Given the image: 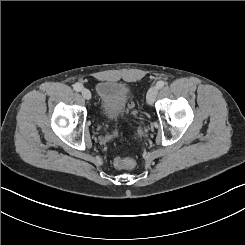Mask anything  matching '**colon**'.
<instances>
[{"label": "colon", "instance_id": "colon-1", "mask_svg": "<svg viewBox=\"0 0 245 245\" xmlns=\"http://www.w3.org/2000/svg\"><path fill=\"white\" fill-rule=\"evenodd\" d=\"M114 163L119 169H131L135 166V161L127 157H117Z\"/></svg>", "mask_w": 245, "mask_h": 245}]
</instances>
